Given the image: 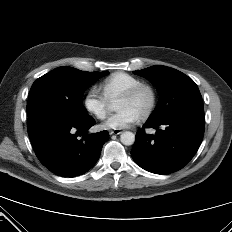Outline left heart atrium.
I'll return each mask as SVG.
<instances>
[{"label":"left heart atrium","mask_w":232,"mask_h":232,"mask_svg":"<svg viewBox=\"0 0 232 232\" xmlns=\"http://www.w3.org/2000/svg\"><path fill=\"white\" fill-rule=\"evenodd\" d=\"M140 116L130 109L118 110L111 115L103 124V129L116 130L128 128L139 120Z\"/></svg>","instance_id":"left-heart-atrium-1"}]
</instances>
